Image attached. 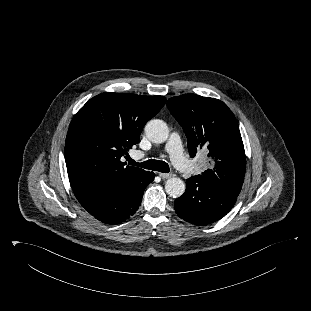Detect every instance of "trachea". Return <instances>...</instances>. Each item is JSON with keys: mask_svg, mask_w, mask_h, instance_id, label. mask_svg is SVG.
<instances>
[{"mask_svg": "<svg viewBox=\"0 0 311 311\" xmlns=\"http://www.w3.org/2000/svg\"><path fill=\"white\" fill-rule=\"evenodd\" d=\"M128 161L130 165L139 166V167L153 170V171H159L162 173H168L170 171L169 165L166 162L161 161V160L150 159L142 163H138L134 161L133 159H129Z\"/></svg>", "mask_w": 311, "mask_h": 311, "instance_id": "obj_1", "label": "trachea"}]
</instances>
